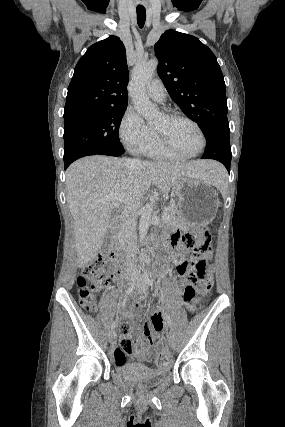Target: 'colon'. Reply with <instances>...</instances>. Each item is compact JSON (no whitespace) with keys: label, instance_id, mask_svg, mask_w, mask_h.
<instances>
[{"label":"colon","instance_id":"5ec220e1","mask_svg":"<svg viewBox=\"0 0 285 427\" xmlns=\"http://www.w3.org/2000/svg\"><path fill=\"white\" fill-rule=\"evenodd\" d=\"M184 243L187 247L194 248L199 252L208 253L210 250V238L203 232L191 231L186 233ZM110 264V259L99 257L82 266L81 273L77 278V284L80 303L88 312L97 310L96 294L105 290L109 285ZM180 268L184 274H189L191 270L196 271V281L194 283L189 279L186 281V301L196 302L198 294L204 295L210 292L213 284L211 276L213 268L211 266L206 268L205 263L201 261L191 264L184 262ZM205 273H207V276H205ZM118 329L122 334H126L128 330L127 324L120 322ZM117 350L131 357L137 352L138 348L129 337L123 336L117 343ZM168 363L169 357L166 353L161 352L157 355L156 366L165 367Z\"/></svg>","mask_w":285,"mask_h":427}]
</instances>
